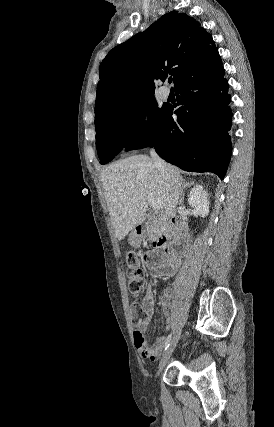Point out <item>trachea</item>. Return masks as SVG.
Returning <instances> with one entry per match:
<instances>
[{"mask_svg":"<svg viewBox=\"0 0 274 427\" xmlns=\"http://www.w3.org/2000/svg\"><path fill=\"white\" fill-rule=\"evenodd\" d=\"M172 82V79H169V83H171Z\"/></svg>","mask_w":274,"mask_h":427,"instance_id":"obj_1","label":"trachea"}]
</instances>
